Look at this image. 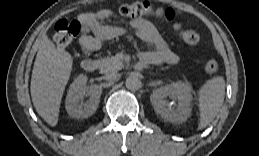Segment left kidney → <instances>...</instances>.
Wrapping results in <instances>:
<instances>
[{"label": "left kidney", "mask_w": 259, "mask_h": 156, "mask_svg": "<svg viewBox=\"0 0 259 156\" xmlns=\"http://www.w3.org/2000/svg\"><path fill=\"white\" fill-rule=\"evenodd\" d=\"M192 92L189 82L177 81L156 89L150 100L155 112L162 118L172 123H181L190 116ZM167 97L177 100L176 107H171L166 100Z\"/></svg>", "instance_id": "obj_1"}]
</instances>
